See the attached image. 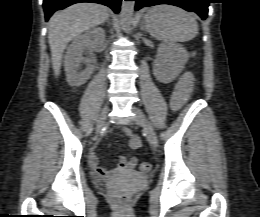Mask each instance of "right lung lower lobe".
I'll return each instance as SVG.
<instances>
[{
    "label": "right lung lower lobe",
    "instance_id": "obj_1",
    "mask_svg": "<svg viewBox=\"0 0 260 217\" xmlns=\"http://www.w3.org/2000/svg\"><path fill=\"white\" fill-rule=\"evenodd\" d=\"M79 2L99 3L110 7L115 13L120 10L121 0H43L46 21L57 10H62Z\"/></svg>",
    "mask_w": 260,
    "mask_h": 217
}]
</instances>
